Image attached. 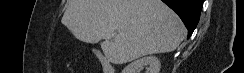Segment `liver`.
I'll return each instance as SVG.
<instances>
[{
	"mask_svg": "<svg viewBox=\"0 0 244 73\" xmlns=\"http://www.w3.org/2000/svg\"><path fill=\"white\" fill-rule=\"evenodd\" d=\"M61 22L80 41L103 39L101 48L113 64L174 51L186 33L161 0H69Z\"/></svg>",
	"mask_w": 244,
	"mask_h": 73,
	"instance_id": "obj_1",
	"label": "liver"
}]
</instances>
